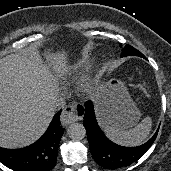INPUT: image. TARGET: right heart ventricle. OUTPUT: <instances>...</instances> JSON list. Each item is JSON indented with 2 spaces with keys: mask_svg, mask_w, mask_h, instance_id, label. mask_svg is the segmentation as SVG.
Segmentation results:
<instances>
[{
  "mask_svg": "<svg viewBox=\"0 0 171 171\" xmlns=\"http://www.w3.org/2000/svg\"><path fill=\"white\" fill-rule=\"evenodd\" d=\"M89 66V62L86 60L78 61L74 66L70 68V70L66 73L67 77H74L80 74L82 71L87 69Z\"/></svg>",
  "mask_w": 171,
  "mask_h": 171,
  "instance_id": "e07e8e85",
  "label": "right heart ventricle"
}]
</instances>
